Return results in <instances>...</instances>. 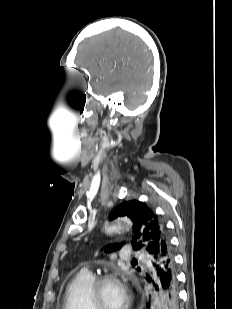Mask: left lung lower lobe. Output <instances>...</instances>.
I'll use <instances>...</instances> for the list:
<instances>
[{"label":"left lung lower lobe","instance_id":"obj_1","mask_svg":"<svg viewBox=\"0 0 232 309\" xmlns=\"http://www.w3.org/2000/svg\"><path fill=\"white\" fill-rule=\"evenodd\" d=\"M146 281L153 287L163 309H177L178 292L176 267L170 242H162L157 256L152 259L150 274ZM150 309V303L147 305Z\"/></svg>","mask_w":232,"mask_h":309}]
</instances>
